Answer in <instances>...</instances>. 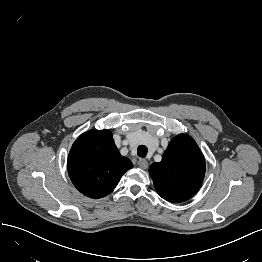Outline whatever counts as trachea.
Segmentation results:
<instances>
[{"mask_svg":"<svg viewBox=\"0 0 262 262\" xmlns=\"http://www.w3.org/2000/svg\"><path fill=\"white\" fill-rule=\"evenodd\" d=\"M147 152H148V149H147L146 146H144V145L138 146L137 155H138L139 157L144 158V157L147 155Z\"/></svg>","mask_w":262,"mask_h":262,"instance_id":"trachea-1","label":"trachea"}]
</instances>
